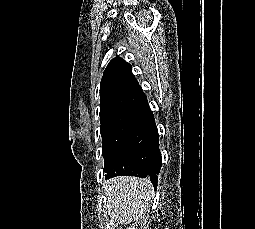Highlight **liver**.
I'll return each mask as SVG.
<instances>
[{
	"mask_svg": "<svg viewBox=\"0 0 255 229\" xmlns=\"http://www.w3.org/2000/svg\"><path fill=\"white\" fill-rule=\"evenodd\" d=\"M104 191L111 218L124 225L141 221L154 196L150 180L129 176L107 181Z\"/></svg>",
	"mask_w": 255,
	"mask_h": 229,
	"instance_id": "liver-1",
	"label": "liver"
}]
</instances>
